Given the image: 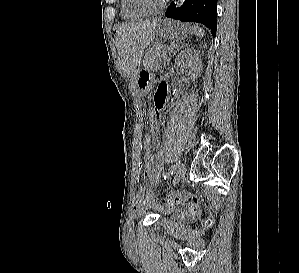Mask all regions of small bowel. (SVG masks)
<instances>
[{
	"instance_id": "obj_1",
	"label": "small bowel",
	"mask_w": 299,
	"mask_h": 273,
	"mask_svg": "<svg viewBox=\"0 0 299 273\" xmlns=\"http://www.w3.org/2000/svg\"><path fill=\"white\" fill-rule=\"evenodd\" d=\"M155 106L158 111L163 110L166 107L168 102V87L166 84L161 83L154 98ZM145 155H144V175L149 180L150 184L153 187L160 186V171L159 164L155 159V155L153 153V144L150 146H146ZM153 200V195L150 192L139 191L136 196V207L137 209L143 208L146 204ZM159 209L162 211H172L174 210V206L166 207L159 206Z\"/></svg>"
}]
</instances>
